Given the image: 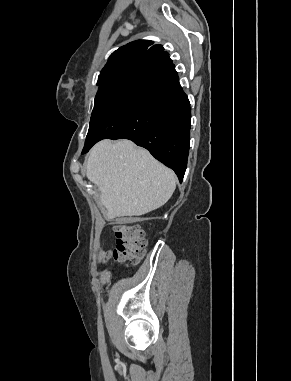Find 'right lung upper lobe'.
<instances>
[{
  "label": "right lung upper lobe",
  "mask_w": 291,
  "mask_h": 381,
  "mask_svg": "<svg viewBox=\"0 0 291 381\" xmlns=\"http://www.w3.org/2000/svg\"><path fill=\"white\" fill-rule=\"evenodd\" d=\"M150 40H137L113 52L98 77L103 90L132 77H144L170 64L172 60L161 45Z\"/></svg>",
  "instance_id": "1"
}]
</instances>
